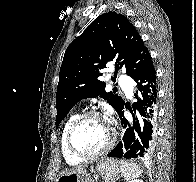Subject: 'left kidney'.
Here are the masks:
<instances>
[{"label": "left kidney", "mask_w": 196, "mask_h": 182, "mask_svg": "<svg viewBox=\"0 0 196 182\" xmlns=\"http://www.w3.org/2000/svg\"><path fill=\"white\" fill-rule=\"evenodd\" d=\"M129 182H143V181L140 180V179H134V180H131V181H129Z\"/></svg>", "instance_id": "left-kidney-1"}]
</instances>
